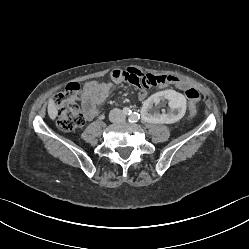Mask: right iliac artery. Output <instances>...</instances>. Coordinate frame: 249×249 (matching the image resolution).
<instances>
[{"mask_svg": "<svg viewBox=\"0 0 249 249\" xmlns=\"http://www.w3.org/2000/svg\"><path fill=\"white\" fill-rule=\"evenodd\" d=\"M122 112H123L124 115H130L131 114V110L129 108H127V107H124L122 109Z\"/></svg>", "mask_w": 249, "mask_h": 249, "instance_id": "right-iliac-artery-1", "label": "right iliac artery"}]
</instances>
